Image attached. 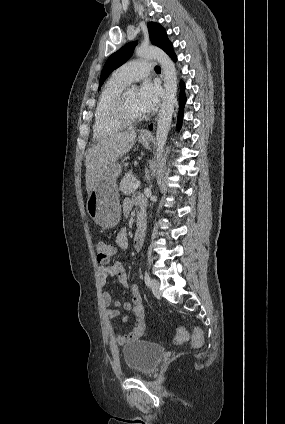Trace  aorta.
I'll use <instances>...</instances> for the list:
<instances>
[{
  "label": "aorta",
  "instance_id": "aorta-1",
  "mask_svg": "<svg viewBox=\"0 0 285 424\" xmlns=\"http://www.w3.org/2000/svg\"><path fill=\"white\" fill-rule=\"evenodd\" d=\"M136 55L139 58L157 60L158 63H160L164 73L165 90L160 112L158 115L156 130V163L154 164L153 169V171H155L161 159L162 152L171 126L177 93V72L175 65L170 59V57L158 47L140 46L136 49ZM131 90L135 91L136 87L132 86Z\"/></svg>",
  "mask_w": 285,
  "mask_h": 424
}]
</instances>
